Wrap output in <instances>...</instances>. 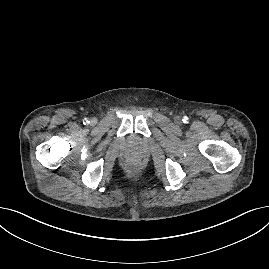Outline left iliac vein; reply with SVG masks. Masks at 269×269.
I'll list each match as a JSON object with an SVG mask.
<instances>
[{
    "instance_id": "left-iliac-vein-1",
    "label": "left iliac vein",
    "mask_w": 269,
    "mask_h": 269,
    "mask_svg": "<svg viewBox=\"0 0 269 269\" xmlns=\"http://www.w3.org/2000/svg\"><path fill=\"white\" fill-rule=\"evenodd\" d=\"M175 122L177 123V124H180L181 123V119H180V117H175Z\"/></svg>"
}]
</instances>
